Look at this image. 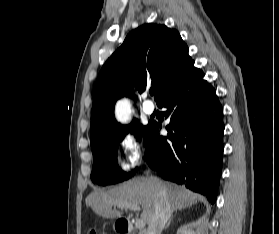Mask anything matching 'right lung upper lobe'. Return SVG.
I'll return each mask as SVG.
<instances>
[{"label": "right lung upper lobe", "instance_id": "obj_1", "mask_svg": "<svg viewBox=\"0 0 279 234\" xmlns=\"http://www.w3.org/2000/svg\"><path fill=\"white\" fill-rule=\"evenodd\" d=\"M188 51L176 29L150 23L132 30L96 80L91 145L122 127L114 118V106L120 97L133 96V87L142 93L154 86L158 104L194 64Z\"/></svg>", "mask_w": 279, "mask_h": 234}]
</instances>
